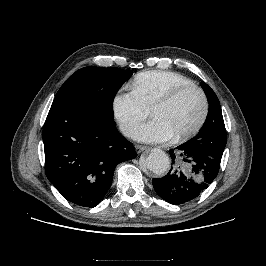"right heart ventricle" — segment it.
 Returning <instances> with one entry per match:
<instances>
[{"label": "right heart ventricle", "mask_w": 266, "mask_h": 266, "mask_svg": "<svg viewBox=\"0 0 266 266\" xmlns=\"http://www.w3.org/2000/svg\"><path fill=\"white\" fill-rule=\"evenodd\" d=\"M193 84L183 75L164 70H151L139 73L130 84L131 90L138 94L146 106L153 104L172 89Z\"/></svg>", "instance_id": "1"}]
</instances>
